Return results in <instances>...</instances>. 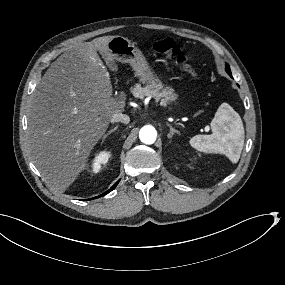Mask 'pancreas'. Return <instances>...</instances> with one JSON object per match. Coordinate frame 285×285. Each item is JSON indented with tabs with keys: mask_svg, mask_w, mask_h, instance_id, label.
I'll return each mask as SVG.
<instances>
[{
	"mask_svg": "<svg viewBox=\"0 0 285 285\" xmlns=\"http://www.w3.org/2000/svg\"><path fill=\"white\" fill-rule=\"evenodd\" d=\"M162 83L157 81V83L148 84L145 87H141L140 84H136L135 87L131 90L133 95L137 98H144V97H152L156 100H161V105L166 106L167 104V96L169 93H173V89L163 90ZM174 99L177 98V94H173ZM163 98V99H161Z\"/></svg>",
	"mask_w": 285,
	"mask_h": 285,
	"instance_id": "1",
	"label": "pancreas"
}]
</instances>
